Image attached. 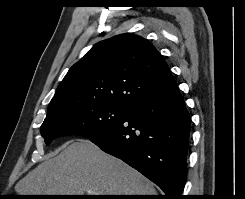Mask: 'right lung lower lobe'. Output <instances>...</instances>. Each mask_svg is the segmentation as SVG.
I'll return each instance as SVG.
<instances>
[{"label": "right lung lower lobe", "instance_id": "98d812e1", "mask_svg": "<svg viewBox=\"0 0 245 199\" xmlns=\"http://www.w3.org/2000/svg\"><path fill=\"white\" fill-rule=\"evenodd\" d=\"M190 125L176 87L128 108L120 121L87 138L158 185L165 199H183Z\"/></svg>", "mask_w": 245, "mask_h": 199}]
</instances>
